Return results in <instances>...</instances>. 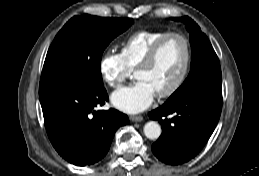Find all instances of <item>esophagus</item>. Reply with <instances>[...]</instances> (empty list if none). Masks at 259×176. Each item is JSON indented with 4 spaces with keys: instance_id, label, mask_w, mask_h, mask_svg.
I'll use <instances>...</instances> for the list:
<instances>
[{
    "instance_id": "1",
    "label": "esophagus",
    "mask_w": 259,
    "mask_h": 176,
    "mask_svg": "<svg viewBox=\"0 0 259 176\" xmlns=\"http://www.w3.org/2000/svg\"><path fill=\"white\" fill-rule=\"evenodd\" d=\"M130 120L132 122H141L143 120V117L141 115H133L130 116Z\"/></svg>"
}]
</instances>
